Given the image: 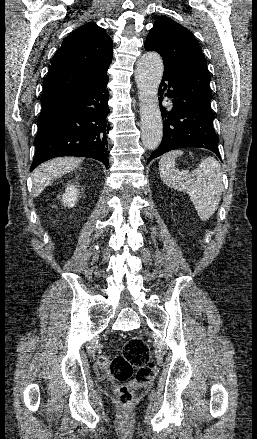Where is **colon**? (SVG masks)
<instances>
[{
	"mask_svg": "<svg viewBox=\"0 0 257 439\" xmlns=\"http://www.w3.org/2000/svg\"><path fill=\"white\" fill-rule=\"evenodd\" d=\"M102 362V358L98 359ZM110 378L117 382L114 392L117 401L123 406L133 403L134 389L144 386L155 376V365L147 344L139 337L128 339L121 354L116 356L109 366Z\"/></svg>",
	"mask_w": 257,
	"mask_h": 439,
	"instance_id": "obj_1",
	"label": "colon"
}]
</instances>
